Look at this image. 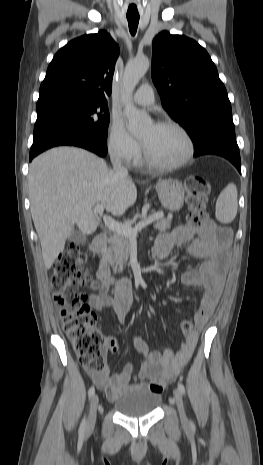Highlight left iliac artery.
I'll return each instance as SVG.
<instances>
[{"instance_id":"left-iliac-artery-1","label":"left iliac artery","mask_w":263,"mask_h":465,"mask_svg":"<svg viewBox=\"0 0 263 465\" xmlns=\"http://www.w3.org/2000/svg\"><path fill=\"white\" fill-rule=\"evenodd\" d=\"M178 388H179V390L181 391L182 394H185V387H184V385L182 383L178 384Z\"/></svg>"}]
</instances>
